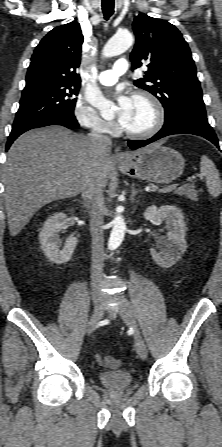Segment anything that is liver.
Returning a JSON list of instances; mask_svg holds the SVG:
<instances>
[{
    "label": "liver",
    "instance_id": "1",
    "mask_svg": "<svg viewBox=\"0 0 222 447\" xmlns=\"http://www.w3.org/2000/svg\"><path fill=\"white\" fill-rule=\"evenodd\" d=\"M111 175L110 151L97 154L90 137L60 126L32 130L10 147L3 170L11 236L46 204L82 193L88 178L104 185Z\"/></svg>",
    "mask_w": 222,
    "mask_h": 447
}]
</instances>
